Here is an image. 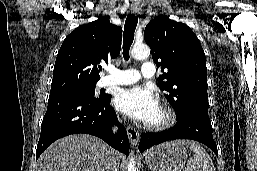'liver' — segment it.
<instances>
[{
    "label": "liver",
    "instance_id": "liver-1",
    "mask_svg": "<svg viewBox=\"0 0 257 171\" xmlns=\"http://www.w3.org/2000/svg\"><path fill=\"white\" fill-rule=\"evenodd\" d=\"M120 155L99 138L75 134L51 144L39 157L37 171H104L108 159Z\"/></svg>",
    "mask_w": 257,
    "mask_h": 171
}]
</instances>
